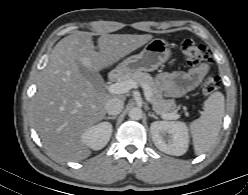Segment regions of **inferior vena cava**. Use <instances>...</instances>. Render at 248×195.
Here are the masks:
<instances>
[{"mask_svg": "<svg viewBox=\"0 0 248 195\" xmlns=\"http://www.w3.org/2000/svg\"><path fill=\"white\" fill-rule=\"evenodd\" d=\"M123 107H124L123 100L119 98H111L106 102L105 111L109 115L114 116V115L119 114L122 111Z\"/></svg>", "mask_w": 248, "mask_h": 195, "instance_id": "obj_1", "label": "inferior vena cava"}]
</instances>
